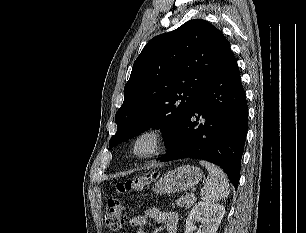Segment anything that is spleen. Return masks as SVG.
<instances>
[{
	"mask_svg": "<svg viewBox=\"0 0 306 233\" xmlns=\"http://www.w3.org/2000/svg\"><path fill=\"white\" fill-rule=\"evenodd\" d=\"M202 166L208 170L209 175L201 190L202 200L208 203H215L223 198H227L229 195V183L225 173L207 161L200 160Z\"/></svg>",
	"mask_w": 306,
	"mask_h": 233,
	"instance_id": "obj_1",
	"label": "spleen"
}]
</instances>
